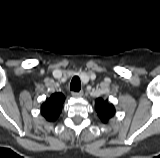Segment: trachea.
I'll return each mask as SVG.
<instances>
[{
	"instance_id": "1",
	"label": "trachea",
	"mask_w": 160,
	"mask_h": 158,
	"mask_svg": "<svg viewBox=\"0 0 160 158\" xmlns=\"http://www.w3.org/2000/svg\"><path fill=\"white\" fill-rule=\"evenodd\" d=\"M81 89V82H80V79L79 77L75 76L73 77L71 83H70V90L71 91H80Z\"/></svg>"
}]
</instances>
